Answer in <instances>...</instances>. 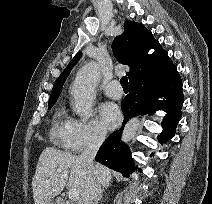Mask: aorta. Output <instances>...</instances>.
I'll return each mask as SVG.
<instances>
[{
    "mask_svg": "<svg viewBox=\"0 0 212 204\" xmlns=\"http://www.w3.org/2000/svg\"><path fill=\"white\" fill-rule=\"evenodd\" d=\"M100 78L99 65L95 61L85 64L77 73L72 85L71 94L74 98L73 110L86 121L92 115L95 87ZM139 127L137 118L131 119L125 126L122 141L128 143L134 138Z\"/></svg>",
    "mask_w": 212,
    "mask_h": 204,
    "instance_id": "aorta-1",
    "label": "aorta"
}]
</instances>
